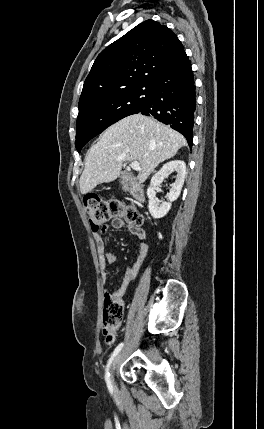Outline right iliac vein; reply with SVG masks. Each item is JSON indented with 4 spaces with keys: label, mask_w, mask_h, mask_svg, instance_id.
<instances>
[{
    "label": "right iliac vein",
    "mask_w": 264,
    "mask_h": 429,
    "mask_svg": "<svg viewBox=\"0 0 264 429\" xmlns=\"http://www.w3.org/2000/svg\"><path fill=\"white\" fill-rule=\"evenodd\" d=\"M120 359H121V353L118 354L113 361V365H112V369H111V384L114 383V374H115V370H116V368L120 362Z\"/></svg>",
    "instance_id": "right-iliac-vein-1"
}]
</instances>
